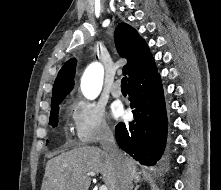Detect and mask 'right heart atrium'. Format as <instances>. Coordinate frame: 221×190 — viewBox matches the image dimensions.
I'll return each instance as SVG.
<instances>
[{
  "label": "right heart atrium",
  "mask_w": 221,
  "mask_h": 190,
  "mask_svg": "<svg viewBox=\"0 0 221 190\" xmlns=\"http://www.w3.org/2000/svg\"><path fill=\"white\" fill-rule=\"evenodd\" d=\"M71 116L76 139L81 145L97 143L110 137L111 129L105 111L95 102L73 99Z\"/></svg>",
  "instance_id": "right-heart-atrium-1"
}]
</instances>
